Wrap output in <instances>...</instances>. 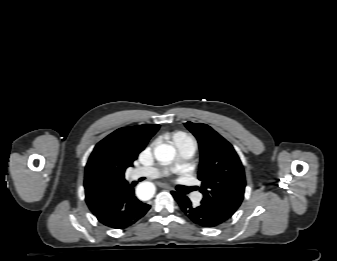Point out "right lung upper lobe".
I'll return each mask as SVG.
<instances>
[{"label":"right lung upper lobe","mask_w":337,"mask_h":261,"mask_svg":"<svg viewBox=\"0 0 337 261\" xmlns=\"http://www.w3.org/2000/svg\"><path fill=\"white\" fill-rule=\"evenodd\" d=\"M159 125L120 128L101 140L91 153L85 168L86 202L97 214L108 200L127 185L124 173L132 166Z\"/></svg>","instance_id":"right-lung-upper-lobe-1"}]
</instances>
